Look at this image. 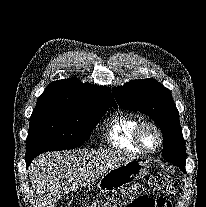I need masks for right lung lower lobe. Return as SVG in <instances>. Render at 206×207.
<instances>
[{
  "mask_svg": "<svg viewBox=\"0 0 206 207\" xmlns=\"http://www.w3.org/2000/svg\"><path fill=\"white\" fill-rule=\"evenodd\" d=\"M37 155H26V166L28 167L31 163V161L33 160V158H35Z\"/></svg>",
  "mask_w": 206,
  "mask_h": 207,
  "instance_id": "obj_1",
  "label": "right lung lower lobe"
}]
</instances>
